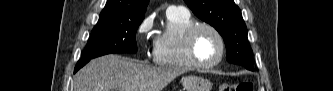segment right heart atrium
Returning <instances> with one entry per match:
<instances>
[{"mask_svg": "<svg viewBox=\"0 0 333 91\" xmlns=\"http://www.w3.org/2000/svg\"><path fill=\"white\" fill-rule=\"evenodd\" d=\"M151 28H152V19L149 17L143 19L136 27L135 30L136 39L140 43H143L146 37L148 36L149 32L151 31Z\"/></svg>", "mask_w": 333, "mask_h": 91, "instance_id": "d8ad5b80", "label": "right heart atrium"}]
</instances>
